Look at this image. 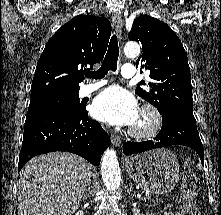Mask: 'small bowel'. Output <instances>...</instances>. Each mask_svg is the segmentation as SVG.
I'll return each instance as SVG.
<instances>
[{
  "label": "small bowel",
  "instance_id": "1",
  "mask_svg": "<svg viewBox=\"0 0 221 215\" xmlns=\"http://www.w3.org/2000/svg\"><path fill=\"white\" fill-rule=\"evenodd\" d=\"M147 215H156V214H147ZM163 215H181L180 213L178 212H172V211H166L163 213Z\"/></svg>",
  "mask_w": 221,
  "mask_h": 215
}]
</instances>
